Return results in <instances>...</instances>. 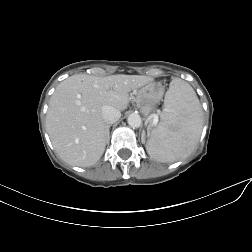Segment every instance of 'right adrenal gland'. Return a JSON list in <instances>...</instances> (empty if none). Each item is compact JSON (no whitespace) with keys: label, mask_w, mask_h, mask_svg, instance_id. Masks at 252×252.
Returning a JSON list of instances; mask_svg holds the SVG:
<instances>
[{"label":"right adrenal gland","mask_w":252,"mask_h":252,"mask_svg":"<svg viewBox=\"0 0 252 252\" xmlns=\"http://www.w3.org/2000/svg\"><path fill=\"white\" fill-rule=\"evenodd\" d=\"M112 125H107V139H106V141H108L109 140V134H110V127H111Z\"/></svg>","instance_id":"2a0ac1e0"}]
</instances>
